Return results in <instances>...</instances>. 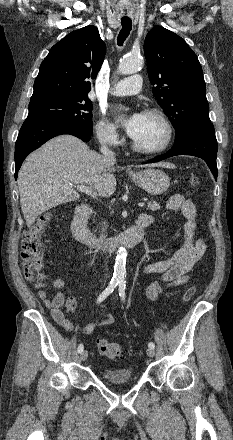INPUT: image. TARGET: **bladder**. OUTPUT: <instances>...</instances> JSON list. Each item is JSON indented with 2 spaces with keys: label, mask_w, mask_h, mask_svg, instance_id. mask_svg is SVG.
Instances as JSON below:
<instances>
[{
  "label": "bladder",
  "mask_w": 233,
  "mask_h": 440,
  "mask_svg": "<svg viewBox=\"0 0 233 440\" xmlns=\"http://www.w3.org/2000/svg\"><path fill=\"white\" fill-rule=\"evenodd\" d=\"M103 377L113 385L125 384L132 379L131 371L128 368L106 370L103 373Z\"/></svg>",
  "instance_id": "bladder-1"
}]
</instances>
